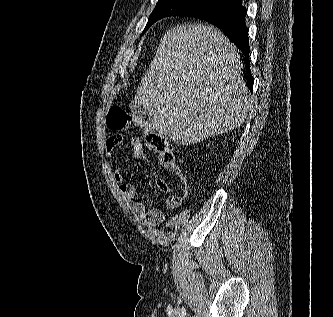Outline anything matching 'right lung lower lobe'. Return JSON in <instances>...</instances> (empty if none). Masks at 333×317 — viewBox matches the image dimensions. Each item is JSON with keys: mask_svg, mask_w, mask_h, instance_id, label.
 <instances>
[{"mask_svg": "<svg viewBox=\"0 0 333 317\" xmlns=\"http://www.w3.org/2000/svg\"><path fill=\"white\" fill-rule=\"evenodd\" d=\"M247 14L246 8L242 6V0L224 5L218 9L195 15L194 17L207 21L215 27L221 29L224 34L242 51L244 54L245 67L248 69L244 78L250 91H253L254 79L249 70V43L248 28L245 24Z\"/></svg>", "mask_w": 333, "mask_h": 317, "instance_id": "1", "label": "right lung lower lobe"}]
</instances>
